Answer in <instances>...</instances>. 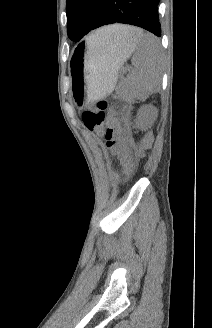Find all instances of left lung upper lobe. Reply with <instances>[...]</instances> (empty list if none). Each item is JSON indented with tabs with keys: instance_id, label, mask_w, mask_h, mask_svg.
Masks as SVG:
<instances>
[{
	"instance_id": "obj_1",
	"label": "left lung upper lobe",
	"mask_w": 212,
	"mask_h": 328,
	"mask_svg": "<svg viewBox=\"0 0 212 328\" xmlns=\"http://www.w3.org/2000/svg\"><path fill=\"white\" fill-rule=\"evenodd\" d=\"M103 0H67V33L79 42L91 31L98 9Z\"/></svg>"
}]
</instances>
